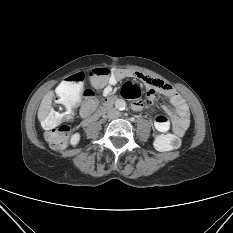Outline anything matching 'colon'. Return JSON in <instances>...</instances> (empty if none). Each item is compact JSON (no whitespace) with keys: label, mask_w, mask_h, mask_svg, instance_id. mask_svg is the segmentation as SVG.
I'll return each instance as SVG.
<instances>
[{"label":"colon","mask_w":233,"mask_h":233,"mask_svg":"<svg viewBox=\"0 0 233 233\" xmlns=\"http://www.w3.org/2000/svg\"><path fill=\"white\" fill-rule=\"evenodd\" d=\"M110 73L108 68L93 69L88 75L92 88L85 90H83L85 75L81 72L71 75L60 84L56 102L43 120L45 138L53 149L60 150L66 146L71 129L62 122L71 117L72 109L78 103L80 96L82 95L89 105H95L94 89L102 88L108 81ZM131 90L132 83H125L123 94L127 97ZM180 144L179 137L172 134L160 135L155 139V146L161 151L175 150Z\"/></svg>","instance_id":"colon-1"}]
</instances>
